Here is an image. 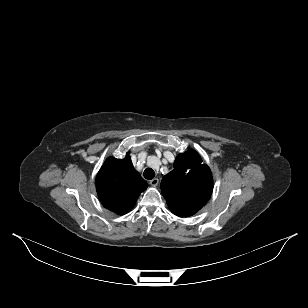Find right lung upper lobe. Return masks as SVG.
<instances>
[{
  "mask_svg": "<svg viewBox=\"0 0 308 308\" xmlns=\"http://www.w3.org/2000/svg\"><path fill=\"white\" fill-rule=\"evenodd\" d=\"M148 184L135 171L129 153L124 159L109 157L96 177V188L103 206L123 215L130 211Z\"/></svg>",
  "mask_w": 308,
  "mask_h": 308,
  "instance_id": "1",
  "label": "right lung upper lobe"
}]
</instances>
